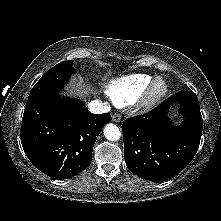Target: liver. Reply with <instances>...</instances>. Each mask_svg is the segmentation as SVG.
<instances>
[{"label":"liver","mask_w":221,"mask_h":221,"mask_svg":"<svg viewBox=\"0 0 221 221\" xmlns=\"http://www.w3.org/2000/svg\"><path fill=\"white\" fill-rule=\"evenodd\" d=\"M71 90L75 91L80 96H86L90 89L86 86V84L83 82L82 77L75 78L72 82V85L70 86Z\"/></svg>","instance_id":"6515ba94"}]
</instances>
